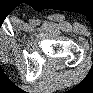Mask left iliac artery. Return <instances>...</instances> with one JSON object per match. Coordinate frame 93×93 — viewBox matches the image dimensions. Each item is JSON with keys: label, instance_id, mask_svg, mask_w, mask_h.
<instances>
[{"label": "left iliac artery", "instance_id": "1", "mask_svg": "<svg viewBox=\"0 0 93 93\" xmlns=\"http://www.w3.org/2000/svg\"><path fill=\"white\" fill-rule=\"evenodd\" d=\"M41 21L39 19L36 20V24L39 25Z\"/></svg>", "mask_w": 93, "mask_h": 93}]
</instances>
